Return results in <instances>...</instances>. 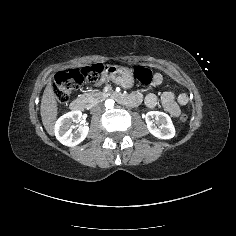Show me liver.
<instances>
[{
  "label": "liver",
  "instance_id": "liver-1",
  "mask_svg": "<svg viewBox=\"0 0 236 236\" xmlns=\"http://www.w3.org/2000/svg\"><path fill=\"white\" fill-rule=\"evenodd\" d=\"M40 114L47 133L53 136L55 133V121L58 114V108L51 82L47 84L44 90L40 106Z\"/></svg>",
  "mask_w": 236,
  "mask_h": 236
}]
</instances>
